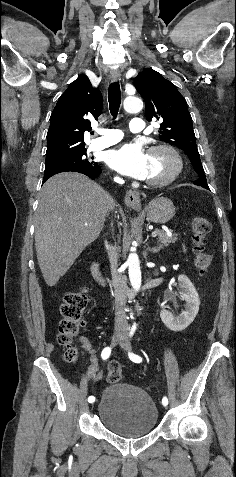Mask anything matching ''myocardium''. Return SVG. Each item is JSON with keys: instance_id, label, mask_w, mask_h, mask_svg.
I'll list each match as a JSON object with an SVG mask.
<instances>
[{"instance_id": "f54148a6", "label": "myocardium", "mask_w": 236, "mask_h": 477, "mask_svg": "<svg viewBox=\"0 0 236 477\" xmlns=\"http://www.w3.org/2000/svg\"><path fill=\"white\" fill-rule=\"evenodd\" d=\"M155 152H164L173 162L172 171L161 179H147L146 184L152 187H163L176 180L184 169V162L179 152L168 144H156L149 148V154Z\"/></svg>"}]
</instances>
